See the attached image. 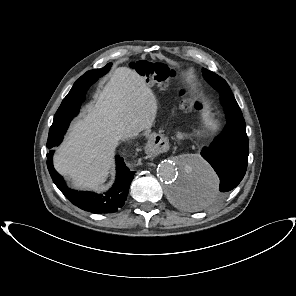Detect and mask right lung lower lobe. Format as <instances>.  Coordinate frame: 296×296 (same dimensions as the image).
<instances>
[{"instance_id": "right-lung-lower-lobe-1", "label": "right lung lower lobe", "mask_w": 296, "mask_h": 296, "mask_svg": "<svg viewBox=\"0 0 296 296\" xmlns=\"http://www.w3.org/2000/svg\"><path fill=\"white\" fill-rule=\"evenodd\" d=\"M81 76L76 82L78 89L82 93H86L87 89L94 82L98 80V76ZM50 132V131H49ZM50 137V134L48 136ZM63 137H57L50 145H47L49 149L53 148L62 141ZM53 151L47 154V167L51 178L58 189L64 194V196L75 206L82 210L89 211L91 213L103 214L117 212L124 205L130 183L134 177L135 172L128 169L125 165L123 158L116 156V181L113 187L104 194H97L84 191H75L66 186L62 176L56 172L52 163Z\"/></svg>"}]
</instances>
